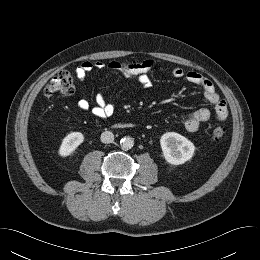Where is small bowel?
Returning a JSON list of instances; mask_svg holds the SVG:
<instances>
[{"label": "small bowel", "mask_w": 260, "mask_h": 260, "mask_svg": "<svg viewBox=\"0 0 260 260\" xmlns=\"http://www.w3.org/2000/svg\"><path fill=\"white\" fill-rule=\"evenodd\" d=\"M156 62L152 59L145 60H126V61H111L108 64L97 61H84L75 68V75L78 80L83 81L87 74L92 70H103L108 68L114 72L121 73L135 78L143 88H148L151 85L150 72L155 67ZM172 75L175 78L185 79L189 83L202 88L206 99L213 105L215 116L218 120H225L228 117V108L226 102L216 92L213 83L203 75L195 71H186L181 67L172 68ZM78 108L81 111H88L90 104L87 100H80ZM114 104L108 102L103 95L99 94L96 97V104L91 109L94 117L98 119H106L114 112ZM210 112L206 108H200L194 112L184 116L183 122L185 128L190 132L198 130L199 126L208 121Z\"/></svg>", "instance_id": "1"}]
</instances>
